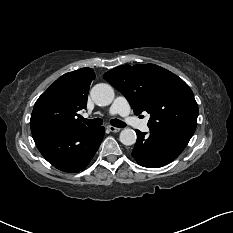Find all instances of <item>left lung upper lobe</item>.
Segmentation results:
<instances>
[{
  "mask_svg": "<svg viewBox=\"0 0 233 233\" xmlns=\"http://www.w3.org/2000/svg\"><path fill=\"white\" fill-rule=\"evenodd\" d=\"M104 78L128 99L136 115L150 113V130L194 134L197 102L190 87L172 72L154 64L122 65Z\"/></svg>",
  "mask_w": 233,
  "mask_h": 233,
  "instance_id": "obj_1",
  "label": "left lung upper lobe"
}]
</instances>
